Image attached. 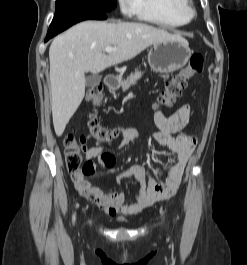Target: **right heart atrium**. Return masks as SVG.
<instances>
[{"mask_svg":"<svg viewBox=\"0 0 247 265\" xmlns=\"http://www.w3.org/2000/svg\"><path fill=\"white\" fill-rule=\"evenodd\" d=\"M137 0H118L120 10L125 15H132L136 10Z\"/></svg>","mask_w":247,"mask_h":265,"instance_id":"right-heart-atrium-1","label":"right heart atrium"}]
</instances>
